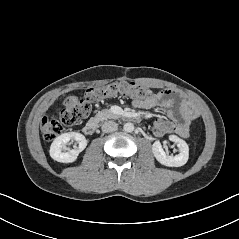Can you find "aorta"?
Returning a JSON list of instances; mask_svg holds the SVG:
<instances>
[{
	"mask_svg": "<svg viewBox=\"0 0 239 239\" xmlns=\"http://www.w3.org/2000/svg\"><path fill=\"white\" fill-rule=\"evenodd\" d=\"M123 129L125 132L131 133L134 131V124L133 123H125Z\"/></svg>",
	"mask_w": 239,
	"mask_h": 239,
	"instance_id": "1",
	"label": "aorta"
}]
</instances>
